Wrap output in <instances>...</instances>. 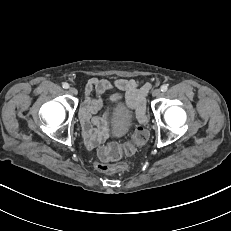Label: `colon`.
<instances>
[{
	"mask_svg": "<svg viewBox=\"0 0 231 231\" xmlns=\"http://www.w3.org/2000/svg\"><path fill=\"white\" fill-rule=\"evenodd\" d=\"M148 140V132L143 126H138L130 141L124 145L117 142H109L98 150L99 161L95 162V167L100 172L106 174H115L126 172L129 169L127 164H113L112 162L118 160L123 154L131 155L137 148L143 146Z\"/></svg>",
	"mask_w": 231,
	"mask_h": 231,
	"instance_id": "1",
	"label": "colon"
}]
</instances>
